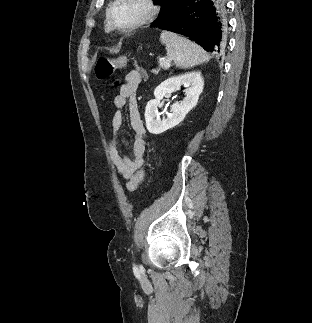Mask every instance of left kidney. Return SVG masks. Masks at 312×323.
Instances as JSON below:
<instances>
[{"label":"left kidney","mask_w":312,"mask_h":323,"mask_svg":"<svg viewBox=\"0 0 312 323\" xmlns=\"http://www.w3.org/2000/svg\"><path fill=\"white\" fill-rule=\"evenodd\" d=\"M181 86L187 88V90H184L185 98L182 102H176V104L170 106L171 114L160 120L158 108L162 106L161 100L166 94L180 90ZM203 86L204 80L201 72H188L183 76H173V78H168L160 86H157L154 90L155 100H150L145 108V122L148 132L150 134H163L166 130H170V128H174V126L183 122L186 114L196 106Z\"/></svg>","instance_id":"1"}]
</instances>
